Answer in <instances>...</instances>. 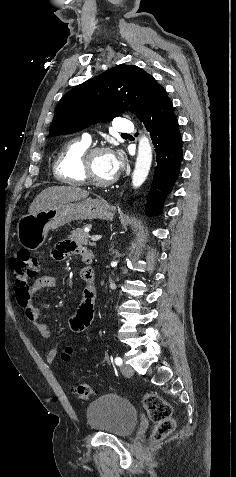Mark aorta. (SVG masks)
I'll return each instance as SVG.
<instances>
[{
	"label": "aorta",
	"mask_w": 236,
	"mask_h": 477,
	"mask_svg": "<svg viewBox=\"0 0 236 477\" xmlns=\"http://www.w3.org/2000/svg\"><path fill=\"white\" fill-rule=\"evenodd\" d=\"M152 163V147L147 136L139 140L135 168L132 174V185L140 187L146 180Z\"/></svg>",
	"instance_id": "obj_1"
}]
</instances>
